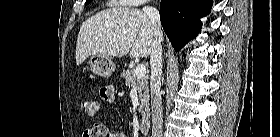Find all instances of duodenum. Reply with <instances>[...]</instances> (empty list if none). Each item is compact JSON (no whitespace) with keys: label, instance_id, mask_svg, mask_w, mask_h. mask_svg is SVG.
<instances>
[{"label":"duodenum","instance_id":"obj_1","mask_svg":"<svg viewBox=\"0 0 280 137\" xmlns=\"http://www.w3.org/2000/svg\"><path fill=\"white\" fill-rule=\"evenodd\" d=\"M139 128L143 134H148L151 129V121L149 119L141 121Z\"/></svg>","mask_w":280,"mask_h":137}]
</instances>
